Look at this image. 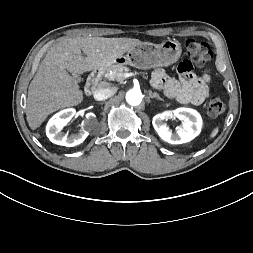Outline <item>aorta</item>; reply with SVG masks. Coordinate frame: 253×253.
I'll list each match as a JSON object with an SVG mask.
<instances>
[{
    "label": "aorta",
    "mask_w": 253,
    "mask_h": 253,
    "mask_svg": "<svg viewBox=\"0 0 253 253\" xmlns=\"http://www.w3.org/2000/svg\"><path fill=\"white\" fill-rule=\"evenodd\" d=\"M142 93L139 89H131L126 93V101L133 106H137L142 101Z\"/></svg>",
    "instance_id": "aorta-1"
}]
</instances>
